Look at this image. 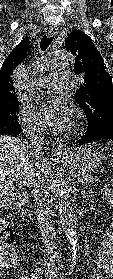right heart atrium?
I'll use <instances>...</instances> for the list:
<instances>
[{
	"instance_id": "obj_1",
	"label": "right heart atrium",
	"mask_w": 113,
	"mask_h": 279,
	"mask_svg": "<svg viewBox=\"0 0 113 279\" xmlns=\"http://www.w3.org/2000/svg\"><path fill=\"white\" fill-rule=\"evenodd\" d=\"M19 120L24 131L29 136H37L43 132L42 126L35 113L27 107H21L19 111Z\"/></svg>"
}]
</instances>
